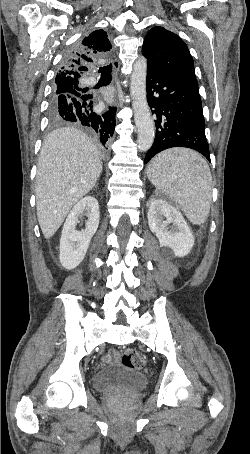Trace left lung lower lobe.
<instances>
[{
  "instance_id": "1",
  "label": "left lung lower lobe",
  "mask_w": 250,
  "mask_h": 454,
  "mask_svg": "<svg viewBox=\"0 0 250 454\" xmlns=\"http://www.w3.org/2000/svg\"><path fill=\"white\" fill-rule=\"evenodd\" d=\"M147 101L156 115V138L145 164L171 147H187L210 161L205 122L196 78L167 74L148 67Z\"/></svg>"
}]
</instances>
